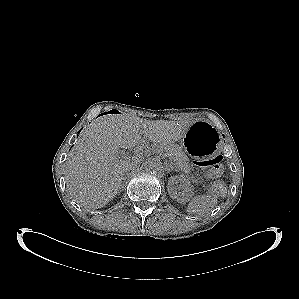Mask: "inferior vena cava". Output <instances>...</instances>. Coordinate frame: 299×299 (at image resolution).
Segmentation results:
<instances>
[{"label":"inferior vena cava","instance_id":"inferior-vena-cava-1","mask_svg":"<svg viewBox=\"0 0 299 299\" xmlns=\"http://www.w3.org/2000/svg\"><path fill=\"white\" fill-rule=\"evenodd\" d=\"M138 164H139V160H133V161L129 164V169H133V168L137 167Z\"/></svg>","mask_w":299,"mask_h":299}]
</instances>
